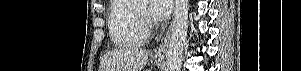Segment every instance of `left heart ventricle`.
I'll return each mask as SVG.
<instances>
[{"label": "left heart ventricle", "mask_w": 301, "mask_h": 71, "mask_svg": "<svg viewBox=\"0 0 301 71\" xmlns=\"http://www.w3.org/2000/svg\"><path fill=\"white\" fill-rule=\"evenodd\" d=\"M137 7L141 13L148 14V4L146 2H139Z\"/></svg>", "instance_id": "b2bd125f"}]
</instances>
